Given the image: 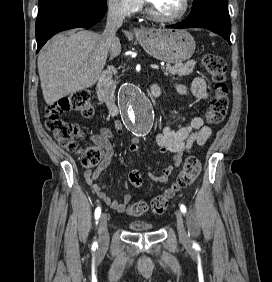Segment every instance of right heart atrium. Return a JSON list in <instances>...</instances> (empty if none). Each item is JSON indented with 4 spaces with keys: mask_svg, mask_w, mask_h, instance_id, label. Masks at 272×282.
<instances>
[{
    "mask_svg": "<svg viewBox=\"0 0 272 282\" xmlns=\"http://www.w3.org/2000/svg\"><path fill=\"white\" fill-rule=\"evenodd\" d=\"M109 11L120 17H126L138 11L139 0H107Z\"/></svg>",
    "mask_w": 272,
    "mask_h": 282,
    "instance_id": "1",
    "label": "right heart atrium"
}]
</instances>
